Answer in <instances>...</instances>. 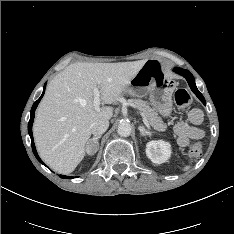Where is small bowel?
Masks as SVG:
<instances>
[{
  "label": "small bowel",
  "mask_w": 234,
  "mask_h": 234,
  "mask_svg": "<svg viewBox=\"0 0 234 234\" xmlns=\"http://www.w3.org/2000/svg\"><path fill=\"white\" fill-rule=\"evenodd\" d=\"M203 121V114L199 109H193L188 118L181 120L175 125L177 143L181 147H186L191 141L203 138L204 131L198 127Z\"/></svg>",
  "instance_id": "small-bowel-1"
}]
</instances>
